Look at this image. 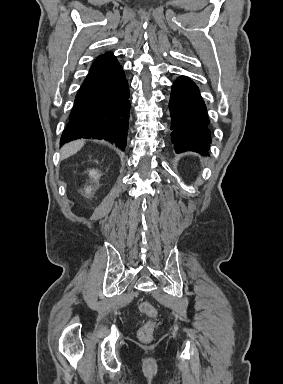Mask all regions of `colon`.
Wrapping results in <instances>:
<instances>
[{"mask_svg": "<svg viewBox=\"0 0 283 384\" xmlns=\"http://www.w3.org/2000/svg\"><path fill=\"white\" fill-rule=\"evenodd\" d=\"M139 309L142 313L149 317V321H147L139 329L138 337L143 342H149L153 337L158 312L157 309L148 301H142L139 304Z\"/></svg>", "mask_w": 283, "mask_h": 384, "instance_id": "5ec220e1", "label": "colon"}]
</instances>
